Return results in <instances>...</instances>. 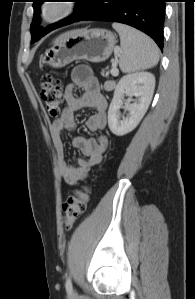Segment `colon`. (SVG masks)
<instances>
[{"mask_svg":"<svg viewBox=\"0 0 195 299\" xmlns=\"http://www.w3.org/2000/svg\"><path fill=\"white\" fill-rule=\"evenodd\" d=\"M40 97L46 111L51 118H57L60 114V106L63 101V88L59 80L46 74L40 81ZM89 197V188L82 187L74 191L63 204L62 223L66 230L72 229L75 222L83 215Z\"/></svg>","mask_w":195,"mask_h":299,"instance_id":"1","label":"colon"}]
</instances>
